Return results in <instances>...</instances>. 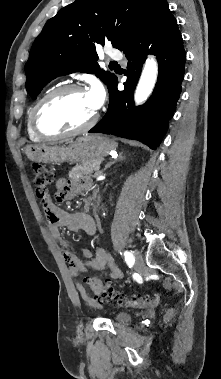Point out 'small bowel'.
Listing matches in <instances>:
<instances>
[{
    "label": "small bowel",
    "instance_id": "obj_1",
    "mask_svg": "<svg viewBox=\"0 0 221 379\" xmlns=\"http://www.w3.org/2000/svg\"><path fill=\"white\" fill-rule=\"evenodd\" d=\"M56 187V199L59 202H63L73 199L77 194L86 192L90 187V182L87 179L70 181L60 178L56 182ZM42 205L48 221V230L51 236L57 240L62 250L63 258L75 278V286L79 295L89 306L96 307L97 302L88 296L84 286L78 280V275L90 271L106 270L112 279H121L123 277L121 270L103 248L98 247L94 253L84 249V259H81L69 248L67 241L62 237L60 231L62 227L71 232L83 231L89 237L94 236L97 226L91 215L87 212L70 214L56 206L50 198L42 202Z\"/></svg>",
    "mask_w": 221,
    "mask_h": 379
}]
</instances>
